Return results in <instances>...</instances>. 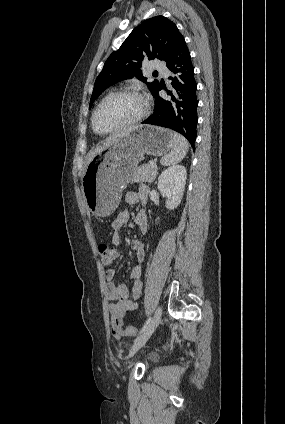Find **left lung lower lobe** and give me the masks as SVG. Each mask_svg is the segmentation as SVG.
Returning <instances> with one entry per match:
<instances>
[{
  "mask_svg": "<svg viewBox=\"0 0 285 424\" xmlns=\"http://www.w3.org/2000/svg\"><path fill=\"white\" fill-rule=\"evenodd\" d=\"M166 66L175 74L170 77L173 89L167 90L168 98H162L158 94L162 88L159 84L152 93L155 97L154 113L142 123L177 131L186 137L195 149L198 121L197 83L194 78L190 53L183 36H180L177 40Z\"/></svg>",
  "mask_w": 285,
  "mask_h": 424,
  "instance_id": "left-lung-lower-lobe-1",
  "label": "left lung lower lobe"
}]
</instances>
